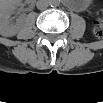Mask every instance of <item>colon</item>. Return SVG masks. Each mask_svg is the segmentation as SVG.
Masks as SVG:
<instances>
[{
  "instance_id": "5ec220e1",
  "label": "colon",
  "mask_w": 103,
  "mask_h": 103,
  "mask_svg": "<svg viewBox=\"0 0 103 103\" xmlns=\"http://www.w3.org/2000/svg\"><path fill=\"white\" fill-rule=\"evenodd\" d=\"M92 31H93V35L96 38H101L103 36V24H102V21L100 19L96 20L93 23Z\"/></svg>"
}]
</instances>
